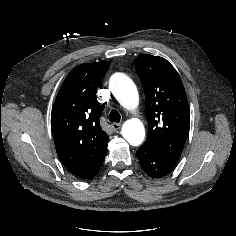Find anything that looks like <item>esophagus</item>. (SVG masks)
<instances>
[{
  "label": "esophagus",
  "instance_id": "34e87169",
  "mask_svg": "<svg viewBox=\"0 0 236 236\" xmlns=\"http://www.w3.org/2000/svg\"><path fill=\"white\" fill-rule=\"evenodd\" d=\"M120 127H121V125H120L119 123H113V124H111V128H112L113 131L119 130Z\"/></svg>",
  "mask_w": 236,
  "mask_h": 236
}]
</instances>
